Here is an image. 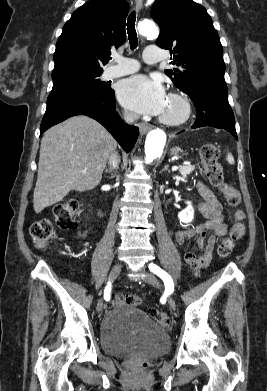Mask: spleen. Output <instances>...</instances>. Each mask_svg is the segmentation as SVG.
<instances>
[{
  "label": "spleen",
  "mask_w": 267,
  "mask_h": 391,
  "mask_svg": "<svg viewBox=\"0 0 267 391\" xmlns=\"http://www.w3.org/2000/svg\"><path fill=\"white\" fill-rule=\"evenodd\" d=\"M227 161H228V163L229 164H234V157H233V155L231 154V153H228V155H227Z\"/></svg>",
  "instance_id": "3e777b00"
}]
</instances>
